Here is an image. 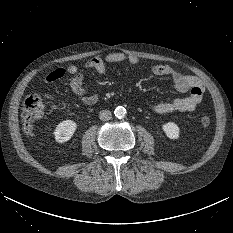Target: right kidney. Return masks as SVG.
Instances as JSON below:
<instances>
[{"label":"right kidney","instance_id":"obj_1","mask_svg":"<svg viewBox=\"0 0 233 233\" xmlns=\"http://www.w3.org/2000/svg\"><path fill=\"white\" fill-rule=\"evenodd\" d=\"M77 129V124L72 120L60 122L54 130V138L58 143H64L71 139Z\"/></svg>","mask_w":233,"mask_h":233}]
</instances>
